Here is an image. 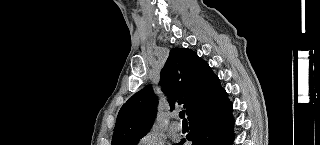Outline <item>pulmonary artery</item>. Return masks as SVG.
<instances>
[{"label":"pulmonary artery","instance_id":"obj_1","mask_svg":"<svg viewBox=\"0 0 320 145\" xmlns=\"http://www.w3.org/2000/svg\"><path fill=\"white\" fill-rule=\"evenodd\" d=\"M173 117H174V118H177V114H174ZM171 129H172L173 131H175V132H179V131L182 130V124H181L180 122H178V121H173V122L171 123Z\"/></svg>","mask_w":320,"mask_h":145}]
</instances>
